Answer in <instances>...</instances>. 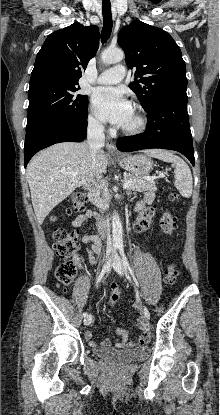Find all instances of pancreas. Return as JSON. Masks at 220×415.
<instances>
[{"label": "pancreas", "instance_id": "pancreas-1", "mask_svg": "<svg viewBox=\"0 0 220 415\" xmlns=\"http://www.w3.org/2000/svg\"><path fill=\"white\" fill-rule=\"evenodd\" d=\"M132 180L133 183L129 187L130 190L138 192H153L157 190L155 182L147 181L143 177L134 176L131 174L124 175V181ZM90 201L102 211H105L109 207L110 194L107 188L104 186L96 187L90 193Z\"/></svg>", "mask_w": 220, "mask_h": 415}]
</instances>
